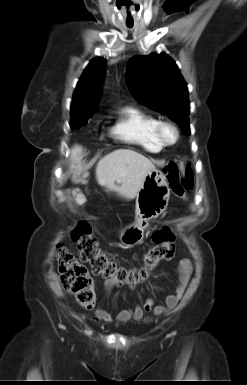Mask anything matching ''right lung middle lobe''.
I'll use <instances>...</instances> for the list:
<instances>
[{
	"label": "right lung middle lobe",
	"instance_id": "dd1d6c3e",
	"mask_svg": "<svg viewBox=\"0 0 247 385\" xmlns=\"http://www.w3.org/2000/svg\"><path fill=\"white\" fill-rule=\"evenodd\" d=\"M96 110L71 112V126L80 128L87 124L88 120L93 116Z\"/></svg>",
	"mask_w": 247,
	"mask_h": 385
}]
</instances>
